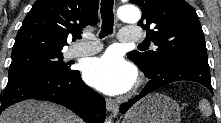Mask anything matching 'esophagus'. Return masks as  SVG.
<instances>
[{
    "label": "esophagus",
    "mask_w": 221,
    "mask_h": 123,
    "mask_svg": "<svg viewBox=\"0 0 221 123\" xmlns=\"http://www.w3.org/2000/svg\"><path fill=\"white\" fill-rule=\"evenodd\" d=\"M106 107L109 112H111L114 116L118 113L119 111V106L116 102H114L112 99H106Z\"/></svg>",
    "instance_id": "obj_1"
}]
</instances>
